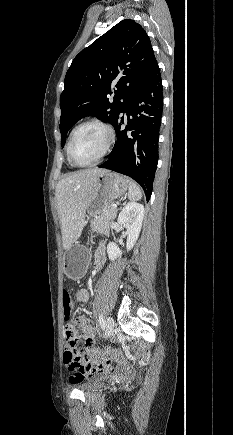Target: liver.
<instances>
[{
	"label": "liver",
	"instance_id": "6515ba94",
	"mask_svg": "<svg viewBox=\"0 0 233 435\" xmlns=\"http://www.w3.org/2000/svg\"><path fill=\"white\" fill-rule=\"evenodd\" d=\"M105 169H85L61 179L56 186L63 248L67 250L81 235L85 214L93 195L95 182Z\"/></svg>",
	"mask_w": 233,
	"mask_h": 435
}]
</instances>
